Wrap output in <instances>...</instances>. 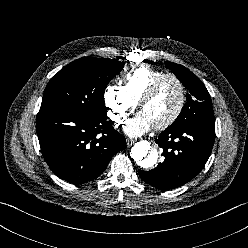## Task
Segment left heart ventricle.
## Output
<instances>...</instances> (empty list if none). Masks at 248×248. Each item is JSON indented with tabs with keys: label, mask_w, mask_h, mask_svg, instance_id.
<instances>
[{
	"label": "left heart ventricle",
	"mask_w": 248,
	"mask_h": 248,
	"mask_svg": "<svg viewBox=\"0 0 248 248\" xmlns=\"http://www.w3.org/2000/svg\"><path fill=\"white\" fill-rule=\"evenodd\" d=\"M180 102V89L173 79L164 80L154 96L143 105L140 112L146 115L152 126L170 117Z\"/></svg>",
	"instance_id": "left-heart-ventricle-1"
}]
</instances>
